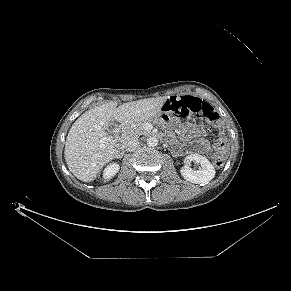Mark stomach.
<instances>
[{"label": "stomach", "instance_id": "0dacf381", "mask_svg": "<svg viewBox=\"0 0 291 291\" xmlns=\"http://www.w3.org/2000/svg\"><path fill=\"white\" fill-rule=\"evenodd\" d=\"M169 120H171V115L168 113H162V112H160L159 114H157L155 117L151 119V121L158 124H164L168 122Z\"/></svg>", "mask_w": 291, "mask_h": 291}]
</instances>
